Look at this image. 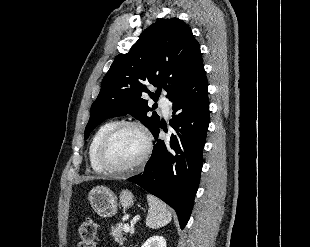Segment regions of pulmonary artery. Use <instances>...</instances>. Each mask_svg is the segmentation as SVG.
Listing matches in <instances>:
<instances>
[{
  "label": "pulmonary artery",
  "mask_w": 310,
  "mask_h": 247,
  "mask_svg": "<svg viewBox=\"0 0 310 247\" xmlns=\"http://www.w3.org/2000/svg\"><path fill=\"white\" fill-rule=\"evenodd\" d=\"M159 105L162 109V112L165 116H169L171 112V101L166 97H161L159 100Z\"/></svg>",
  "instance_id": "1"
}]
</instances>
